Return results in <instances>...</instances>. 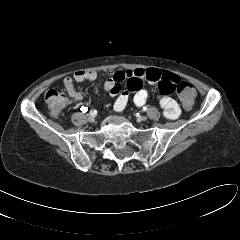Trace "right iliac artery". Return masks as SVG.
<instances>
[{
    "label": "right iliac artery",
    "instance_id": "right-iliac-artery-1",
    "mask_svg": "<svg viewBox=\"0 0 240 240\" xmlns=\"http://www.w3.org/2000/svg\"><path fill=\"white\" fill-rule=\"evenodd\" d=\"M81 110H82L83 113H85V112H87L88 109L85 108V107H82ZM96 113H97L96 110H91V111H90V114H92V115H95Z\"/></svg>",
    "mask_w": 240,
    "mask_h": 240
}]
</instances>
